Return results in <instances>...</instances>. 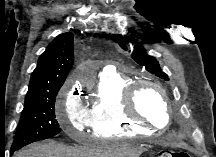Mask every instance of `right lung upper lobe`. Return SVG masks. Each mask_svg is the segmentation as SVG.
<instances>
[{
  "label": "right lung upper lobe",
  "mask_w": 216,
  "mask_h": 157,
  "mask_svg": "<svg viewBox=\"0 0 216 157\" xmlns=\"http://www.w3.org/2000/svg\"><path fill=\"white\" fill-rule=\"evenodd\" d=\"M73 33L58 35L46 48L31 74L26 99L59 91L73 66Z\"/></svg>",
  "instance_id": "1"
}]
</instances>
